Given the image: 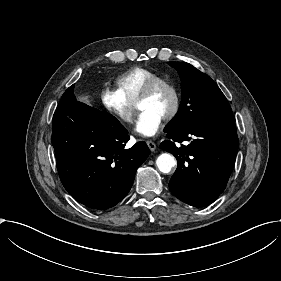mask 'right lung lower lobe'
<instances>
[{"mask_svg": "<svg viewBox=\"0 0 281 281\" xmlns=\"http://www.w3.org/2000/svg\"><path fill=\"white\" fill-rule=\"evenodd\" d=\"M73 90L74 85L65 91L53 116L58 173L74 199L106 210L127 195L150 150L143 141L124 149L126 128L109 113L78 102Z\"/></svg>", "mask_w": 281, "mask_h": 281, "instance_id": "obj_1", "label": "right lung lower lobe"}]
</instances>
